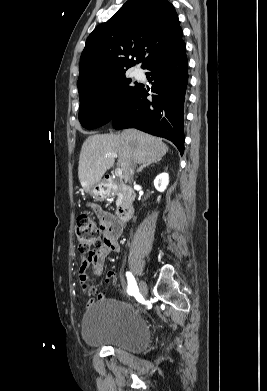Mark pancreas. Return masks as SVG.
Returning <instances> with one entry per match:
<instances>
[{
  "instance_id": "cf45deb5",
  "label": "pancreas",
  "mask_w": 267,
  "mask_h": 391,
  "mask_svg": "<svg viewBox=\"0 0 267 391\" xmlns=\"http://www.w3.org/2000/svg\"><path fill=\"white\" fill-rule=\"evenodd\" d=\"M114 193L118 196L116 205L119 207L122 204L123 194L120 191L114 190Z\"/></svg>"
}]
</instances>
